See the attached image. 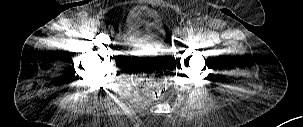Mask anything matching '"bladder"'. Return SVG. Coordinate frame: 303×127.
<instances>
[{"label": "bladder", "instance_id": "bladder-1", "mask_svg": "<svg viewBox=\"0 0 303 127\" xmlns=\"http://www.w3.org/2000/svg\"><path fill=\"white\" fill-rule=\"evenodd\" d=\"M121 35L124 39L161 42L165 36V29L160 15L146 7H131L121 24Z\"/></svg>", "mask_w": 303, "mask_h": 127}]
</instances>
